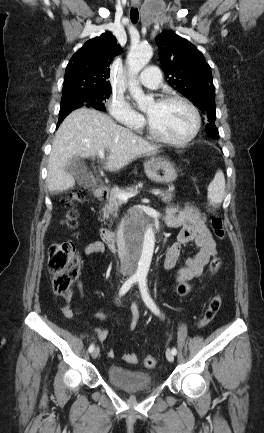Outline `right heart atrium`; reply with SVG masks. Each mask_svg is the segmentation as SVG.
Here are the masks:
<instances>
[{"label":"right heart atrium","mask_w":264,"mask_h":433,"mask_svg":"<svg viewBox=\"0 0 264 433\" xmlns=\"http://www.w3.org/2000/svg\"><path fill=\"white\" fill-rule=\"evenodd\" d=\"M109 113L117 122L132 128H138L143 123L142 116L133 110L124 96L119 94L112 96Z\"/></svg>","instance_id":"1"}]
</instances>
